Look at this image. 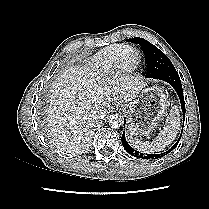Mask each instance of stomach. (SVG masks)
<instances>
[{"label": "stomach", "mask_w": 209, "mask_h": 209, "mask_svg": "<svg viewBox=\"0 0 209 209\" xmlns=\"http://www.w3.org/2000/svg\"><path fill=\"white\" fill-rule=\"evenodd\" d=\"M167 106L168 100L161 87L143 89L135 100L123 105L127 114V132L130 135H147L154 131Z\"/></svg>", "instance_id": "1"}]
</instances>
